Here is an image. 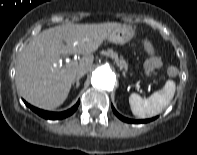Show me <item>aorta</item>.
<instances>
[{"instance_id":"1","label":"aorta","mask_w":197,"mask_h":155,"mask_svg":"<svg viewBox=\"0 0 197 155\" xmlns=\"http://www.w3.org/2000/svg\"><path fill=\"white\" fill-rule=\"evenodd\" d=\"M115 79V74L109 67L101 66L93 72L91 80L95 87L112 90L115 85Z\"/></svg>"}]
</instances>
